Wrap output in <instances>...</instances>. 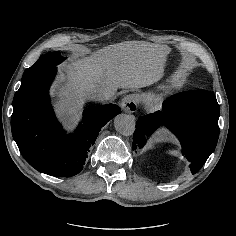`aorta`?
<instances>
[{
	"instance_id": "aorta-1",
	"label": "aorta",
	"mask_w": 236,
	"mask_h": 236,
	"mask_svg": "<svg viewBox=\"0 0 236 236\" xmlns=\"http://www.w3.org/2000/svg\"><path fill=\"white\" fill-rule=\"evenodd\" d=\"M114 126L117 132L124 136H130L135 131V119L133 116L120 114L114 119Z\"/></svg>"
}]
</instances>
